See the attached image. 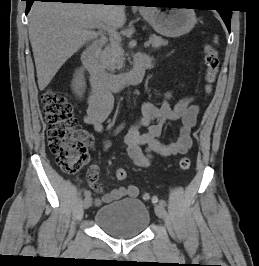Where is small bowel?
<instances>
[{"instance_id":"obj_1","label":"small bowel","mask_w":259,"mask_h":266,"mask_svg":"<svg viewBox=\"0 0 259 266\" xmlns=\"http://www.w3.org/2000/svg\"><path fill=\"white\" fill-rule=\"evenodd\" d=\"M149 65V59L145 56ZM164 101L156 106L146 103L142 106V116L129 129L125 136L127 152L133 162L140 167H148L151 163L152 154L162 157H169L177 154H185L192 146L191 132L196 125L199 114V106L194 101V97L187 96L180 100L174 107H171L168 100L171 97L170 92L163 94ZM113 97L109 91L101 90L91 85V93L88 99V107L84 115V122L93 125L97 132H103V123L113 109ZM180 120L182 125L179 130L177 140L165 144L160 140L163 128L169 121ZM140 127H147V132L139 134ZM141 146H144L146 152L143 153ZM110 147V141H104V148ZM87 182L95 191H101L98 184V167L92 165L87 172ZM138 188L135 185L127 187H118L96 199L94 204L110 203L125 197L135 198L138 195Z\"/></svg>"}]
</instances>
